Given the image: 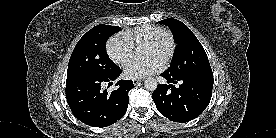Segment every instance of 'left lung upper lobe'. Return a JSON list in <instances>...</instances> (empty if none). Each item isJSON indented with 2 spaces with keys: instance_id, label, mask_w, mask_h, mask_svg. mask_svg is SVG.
Segmentation results:
<instances>
[{
  "instance_id": "1",
  "label": "left lung upper lobe",
  "mask_w": 276,
  "mask_h": 138,
  "mask_svg": "<svg viewBox=\"0 0 276 138\" xmlns=\"http://www.w3.org/2000/svg\"><path fill=\"white\" fill-rule=\"evenodd\" d=\"M160 23L169 26L177 43L167 73L176 78L213 75L204 48L184 23L173 18L164 19Z\"/></svg>"
}]
</instances>
